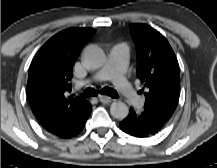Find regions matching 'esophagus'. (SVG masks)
Instances as JSON below:
<instances>
[{
    "label": "esophagus",
    "mask_w": 217,
    "mask_h": 168,
    "mask_svg": "<svg viewBox=\"0 0 217 168\" xmlns=\"http://www.w3.org/2000/svg\"><path fill=\"white\" fill-rule=\"evenodd\" d=\"M98 98H99V101L104 103V104H108L112 101V98L109 96H106V95H100V96H98Z\"/></svg>",
    "instance_id": "1"
}]
</instances>
